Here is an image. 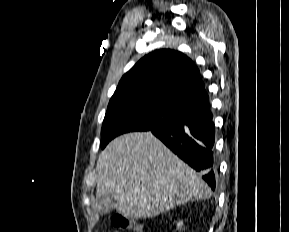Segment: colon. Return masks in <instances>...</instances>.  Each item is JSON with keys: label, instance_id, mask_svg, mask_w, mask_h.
I'll list each match as a JSON object with an SVG mask.
<instances>
[{"label": "colon", "instance_id": "1", "mask_svg": "<svg viewBox=\"0 0 289 232\" xmlns=\"http://www.w3.org/2000/svg\"><path fill=\"white\" fill-rule=\"evenodd\" d=\"M112 224L121 231L143 232L139 223L120 213H116L112 216Z\"/></svg>", "mask_w": 289, "mask_h": 232}]
</instances>
